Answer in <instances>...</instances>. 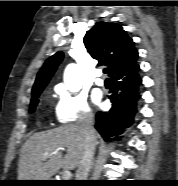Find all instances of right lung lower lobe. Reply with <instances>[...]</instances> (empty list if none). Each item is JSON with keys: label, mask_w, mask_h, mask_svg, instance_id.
I'll return each mask as SVG.
<instances>
[{"label": "right lung lower lobe", "mask_w": 178, "mask_h": 186, "mask_svg": "<svg viewBox=\"0 0 178 186\" xmlns=\"http://www.w3.org/2000/svg\"><path fill=\"white\" fill-rule=\"evenodd\" d=\"M139 71L140 67L135 61L110 75L109 99L112 108L108 112H98L95 124L106 141L113 140V136L123 133L133 123L137 101L141 98Z\"/></svg>", "instance_id": "98d812e1"}]
</instances>
